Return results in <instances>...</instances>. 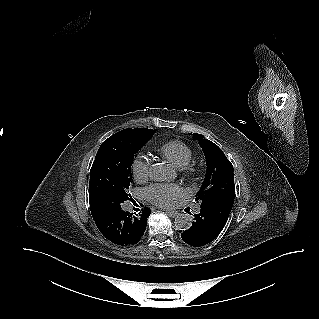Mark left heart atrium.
<instances>
[{
  "mask_svg": "<svg viewBox=\"0 0 319 319\" xmlns=\"http://www.w3.org/2000/svg\"><path fill=\"white\" fill-rule=\"evenodd\" d=\"M144 193L153 204L168 207L181 195V188L176 184L158 183L147 187Z\"/></svg>",
  "mask_w": 319,
  "mask_h": 319,
  "instance_id": "1",
  "label": "left heart atrium"
}]
</instances>
